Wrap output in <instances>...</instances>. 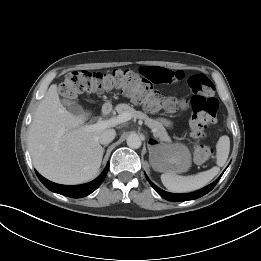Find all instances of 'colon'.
Wrapping results in <instances>:
<instances>
[{
    "instance_id": "obj_1",
    "label": "colon",
    "mask_w": 261,
    "mask_h": 261,
    "mask_svg": "<svg viewBox=\"0 0 261 261\" xmlns=\"http://www.w3.org/2000/svg\"><path fill=\"white\" fill-rule=\"evenodd\" d=\"M192 93L189 104L192 109L190 127L192 136L199 141L205 128L216 122L218 101L215 97L213 82L204 74H195L188 78ZM117 89L123 95L132 98L150 111L166 110L175 112L186 106L184 99L164 96L153 89L147 78L131 70L114 69L102 73L96 71H73L68 73L60 84L59 92L67 102H73L79 95H89ZM213 150L201 143L194 148V157L199 163L208 161Z\"/></svg>"
}]
</instances>
